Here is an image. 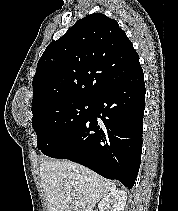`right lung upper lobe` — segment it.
I'll return each instance as SVG.
<instances>
[{"mask_svg": "<svg viewBox=\"0 0 178 211\" xmlns=\"http://www.w3.org/2000/svg\"><path fill=\"white\" fill-rule=\"evenodd\" d=\"M139 56L118 23L101 13L78 20L51 42L33 77V114L55 102L93 99L140 69Z\"/></svg>", "mask_w": 178, "mask_h": 211, "instance_id": "obj_1", "label": "right lung upper lobe"}]
</instances>
